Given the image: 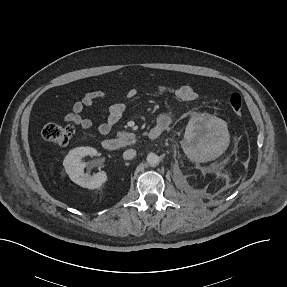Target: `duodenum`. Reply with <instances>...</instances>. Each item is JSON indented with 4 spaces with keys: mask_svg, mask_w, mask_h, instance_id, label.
Listing matches in <instances>:
<instances>
[{
    "mask_svg": "<svg viewBox=\"0 0 287 287\" xmlns=\"http://www.w3.org/2000/svg\"><path fill=\"white\" fill-rule=\"evenodd\" d=\"M164 128L161 126L153 127L150 129L148 136L150 139L155 140L163 133ZM122 145V142L118 138H106L102 141V146L107 151L118 150Z\"/></svg>",
    "mask_w": 287,
    "mask_h": 287,
    "instance_id": "410a0bca",
    "label": "duodenum"
}]
</instances>
